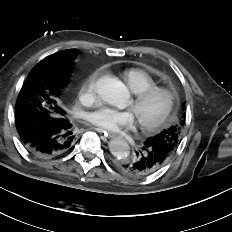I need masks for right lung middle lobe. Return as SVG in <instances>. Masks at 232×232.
<instances>
[{
    "label": "right lung middle lobe",
    "mask_w": 232,
    "mask_h": 232,
    "mask_svg": "<svg viewBox=\"0 0 232 232\" xmlns=\"http://www.w3.org/2000/svg\"><path fill=\"white\" fill-rule=\"evenodd\" d=\"M75 57V52L49 61H46L47 57L36 65L21 88L15 105L16 113L27 112V105L33 103L40 111L36 120L43 121V125L50 126L66 118L58 98L60 89L68 84Z\"/></svg>",
    "instance_id": "dd1d6c3e"
}]
</instances>
